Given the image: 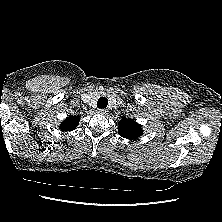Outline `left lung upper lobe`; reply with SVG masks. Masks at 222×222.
Returning <instances> with one entry per match:
<instances>
[{"label":"left lung upper lobe","mask_w":222,"mask_h":222,"mask_svg":"<svg viewBox=\"0 0 222 222\" xmlns=\"http://www.w3.org/2000/svg\"><path fill=\"white\" fill-rule=\"evenodd\" d=\"M142 129L133 119L125 118L118 123V133L127 139H136L142 135Z\"/></svg>","instance_id":"5c2ea615"}]
</instances>
